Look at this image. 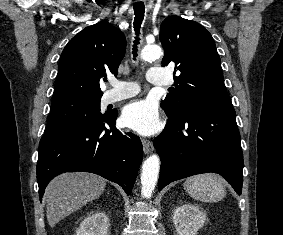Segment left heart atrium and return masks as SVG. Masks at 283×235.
I'll list each match as a JSON object with an SVG mask.
<instances>
[{
    "instance_id": "obj_1",
    "label": "left heart atrium",
    "mask_w": 283,
    "mask_h": 235,
    "mask_svg": "<svg viewBox=\"0 0 283 235\" xmlns=\"http://www.w3.org/2000/svg\"><path fill=\"white\" fill-rule=\"evenodd\" d=\"M121 120L126 127L145 136L155 134L161 126L156 106L147 100L126 105Z\"/></svg>"
}]
</instances>
